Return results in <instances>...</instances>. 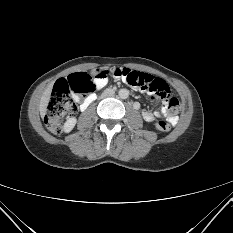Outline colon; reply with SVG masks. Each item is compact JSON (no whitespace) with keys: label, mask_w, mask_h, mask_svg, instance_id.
Here are the masks:
<instances>
[{"label":"colon","mask_w":233,"mask_h":233,"mask_svg":"<svg viewBox=\"0 0 233 233\" xmlns=\"http://www.w3.org/2000/svg\"><path fill=\"white\" fill-rule=\"evenodd\" d=\"M97 76L122 79L132 87L149 91L155 99L166 100V111L171 117L180 110L179 102L170 95L168 85L151 75L128 68H101L95 71V77ZM94 89L95 84L91 77L82 72L71 74L67 79L57 81L44 117L48 130L55 135H60L63 130L64 117L76 110L73 95H85ZM156 128L160 131H169L171 124L159 121L156 123Z\"/></svg>","instance_id":"1"}]
</instances>
